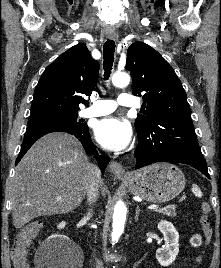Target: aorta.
Here are the masks:
<instances>
[{"instance_id":"aorta-1","label":"aorta","mask_w":221,"mask_h":268,"mask_svg":"<svg viewBox=\"0 0 221 268\" xmlns=\"http://www.w3.org/2000/svg\"><path fill=\"white\" fill-rule=\"evenodd\" d=\"M130 82V76L127 73H115L112 77V83L116 87H126ZM127 208L122 201H118L114 208L112 223V242L118 241L124 231Z\"/></svg>"}]
</instances>
